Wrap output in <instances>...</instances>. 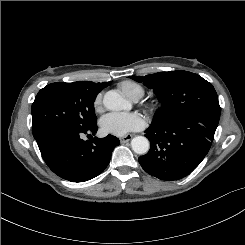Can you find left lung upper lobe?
Returning a JSON list of instances; mask_svg holds the SVG:
<instances>
[{"label": "left lung upper lobe", "instance_id": "obj_1", "mask_svg": "<svg viewBox=\"0 0 245 245\" xmlns=\"http://www.w3.org/2000/svg\"><path fill=\"white\" fill-rule=\"evenodd\" d=\"M129 78L153 89L162 104L151 126H164L198 114L220 118L221 108L214 87L195 73L177 70Z\"/></svg>", "mask_w": 245, "mask_h": 245}]
</instances>
